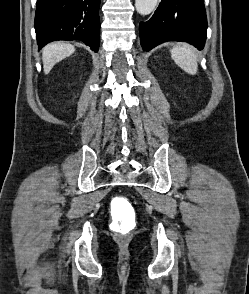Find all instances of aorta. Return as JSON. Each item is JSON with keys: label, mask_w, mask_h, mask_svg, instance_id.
I'll list each match as a JSON object with an SVG mask.
<instances>
[{"label": "aorta", "mask_w": 249, "mask_h": 294, "mask_svg": "<svg viewBox=\"0 0 249 294\" xmlns=\"http://www.w3.org/2000/svg\"><path fill=\"white\" fill-rule=\"evenodd\" d=\"M158 0H135V8L141 15L150 14L156 7Z\"/></svg>", "instance_id": "aorta-1"}]
</instances>
